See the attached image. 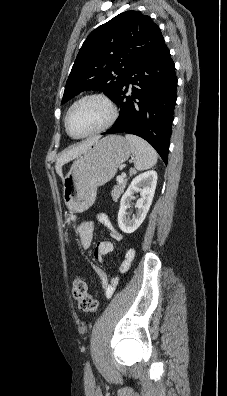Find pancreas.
Segmentation results:
<instances>
[{
	"mask_svg": "<svg viewBox=\"0 0 227 396\" xmlns=\"http://www.w3.org/2000/svg\"><path fill=\"white\" fill-rule=\"evenodd\" d=\"M127 179H124L123 182L118 183L116 186H114V189L112 190V198L114 201H117L121 194L124 191V188L126 186Z\"/></svg>",
	"mask_w": 227,
	"mask_h": 396,
	"instance_id": "obj_1",
	"label": "pancreas"
}]
</instances>
